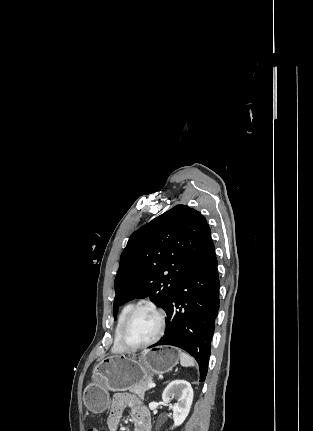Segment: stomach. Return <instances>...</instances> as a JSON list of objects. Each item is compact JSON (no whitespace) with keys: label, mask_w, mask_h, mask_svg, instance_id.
Instances as JSON below:
<instances>
[{"label":"stomach","mask_w":313,"mask_h":431,"mask_svg":"<svg viewBox=\"0 0 313 431\" xmlns=\"http://www.w3.org/2000/svg\"><path fill=\"white\" fill-rule=\"evenodd\" d=\"M180 353L169 348L148 349L136 357L112 355L102 359L93 371L92 382L84 389L85 406L94 414L104 412L109 391L127 390L175 367Z\"/></svg>","instance_id":"obj_1"}]
</instances>
